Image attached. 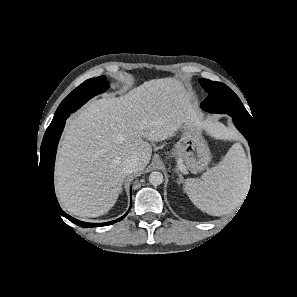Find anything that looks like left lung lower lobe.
<instances>
[{
  "label": "left lung lower lobe",
  "instance_id": "left-lung-lower-lobe-1",
  "mask_svg": "<svg viewBox=\"0 0 297 297\" xmlns=\"http://www.w3.org/2000/svg\"><path fill=\"white\" fill-rule=\"evenodd\" d=\"M233 117V122L237 129L245 136V138L249 141L251 157H252V179L253 174L256 172L257 165H258V137L256 138V131L254 124L251 122L243 121L237 117ZM253 181V180H252ZM251 189V188H250ZM250 191V190H249Z\"/></svg>",
  "mask_w": 297,
  "mask_h": 297
}]
</instances>
